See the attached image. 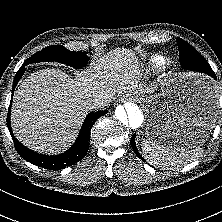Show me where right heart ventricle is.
Returning <instances> with one entry per match:
<instances>
[{
	"instance_id": "obj_1",
	"label": "right heart ventricle",
	"mask_w": 222,
	"mask_h": 222,
	"mask_svg": "<svg viewBox=\"0 0 222 222\" xmlns=\"http://www.w3.org/2000/svg\"><path fill=\"white\" fill-rule=\"evenodd\" d=\"M164 63L165 58L161 55H154L150 58V64L155 68L162 66Z\"/></svg>"
}]
</instances>
